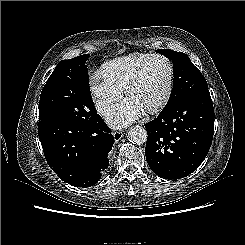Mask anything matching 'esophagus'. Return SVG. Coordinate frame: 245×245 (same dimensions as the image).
<instances>
[{
    "instance_id": "34e87169",
    "label": "esophagus",
    "mask_w": 245,
    "mask_h": 245,
    "mask_svg": "<svg viewBox=\"0 0 245 245\" xmlns=\"http://www.w3.org/2000/svg\"><path fill=\"white\" fill-rule=\"evenodd\" d=\"M113 137L116 142L120 141L124 137V133L122 131H114Z\"/></svg>"
}]
</instances>
